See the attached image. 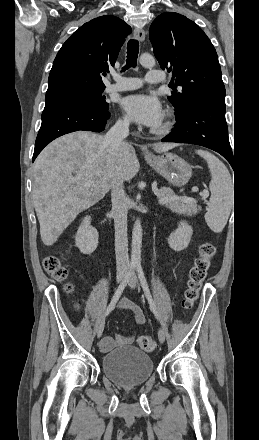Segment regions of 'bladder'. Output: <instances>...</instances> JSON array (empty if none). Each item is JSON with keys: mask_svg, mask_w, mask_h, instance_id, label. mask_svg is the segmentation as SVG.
Masks as SVG:
<instances>
[{"mask_svg": "<svg viewBox=\"0 0 259 440\" xmlns=\"http://www.w3.org/2000/svg\"><path fill=\"white\" fill-rule=\"evenodd\" d=\"M101 365L104 375L121 386L143 384L154 372L150 355L134 346L111 350L102 357Z\"/></svg>", "mask_w": 259, "mask_h": 440, "instance_id": "31cf9c89", "label": "bladder"}]
</instances>
